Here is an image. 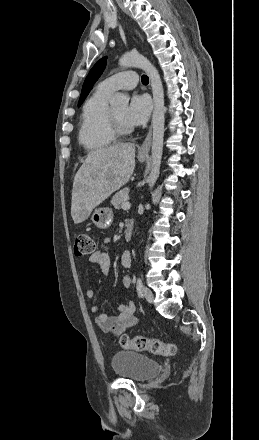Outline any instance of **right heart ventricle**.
Segmentation results:
<instances>
[{"mask_svg": "<svg viewBox=\"0 0 259 440\" xmlns=\"http://www.w3.org/2000/svg\"><path fill=\"white\" fill-rule=\"evenodd\" d=\"M109 97L110 93L97 88L83 105L78 140L88 152L101 151L116 140L110 124Z\"/></svg>", "mask_w": 259, "mask_h": 440, "instance_id": "e07e8e85", "label": "right heart ventricle"}]
</instances>
